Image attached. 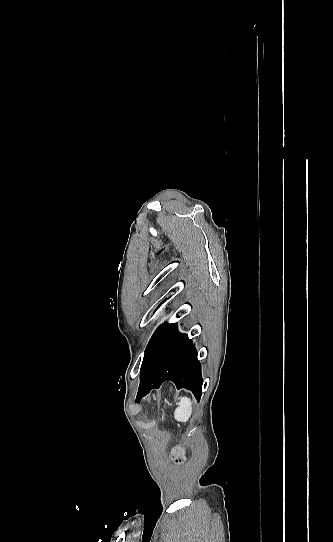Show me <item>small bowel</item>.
Masks as SVG:
<instances>
[{
    "instance_id": "small-bowel-1",
    "label": "small bowel",
    "mask_w": 333,
    "mask_h": 542,
    "mask_svg": "<svg viewBox=\"0 0 333 542\" xmlns=\"http://www.w3.org/2000/svg\"><path fill=\"white\" fill-rule=\"evenodd\" d=\"M183 451H184V449H183L182 447H178V448L176 449V454H182Z\"/></svg>"
}]
</instances>
